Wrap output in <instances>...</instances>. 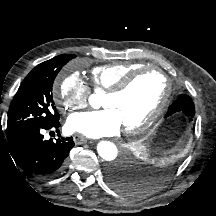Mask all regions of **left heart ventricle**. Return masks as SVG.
Segmentation results:
<instances>
[{
    "label": "left heart ventricle",
    "instance_id": "left-heart-ventricle-1",
    "mask_svg": "<svg viewBox=\"0 0 216 216\" xmlns=\"http://www.w3.org/2000/svg\"><path fill=\"white\" fill-rule=\"evenodd\" d=\"M164 90V79L157 72L148 71L138 76L123 94L105 95L102 105L117 113L124 128L132 127L142 122L157 107Z\"/></svg>",
    "mask_w": 216,
    "mask_h": 216
}]
</instances>
